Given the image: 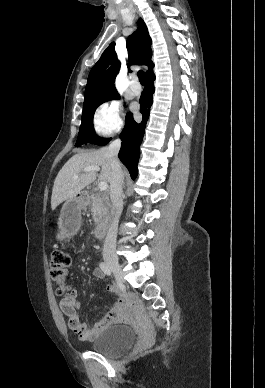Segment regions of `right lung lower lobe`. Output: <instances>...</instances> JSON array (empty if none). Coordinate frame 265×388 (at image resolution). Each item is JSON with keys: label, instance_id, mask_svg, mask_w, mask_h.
Masks as SVG:
<instances>
[{"label": "right lung lower lobe", "instance_id": "1", "mask_svg": "<svg viewBox=\"0 0 265 388\" xmlns=\"http://www.w3.org/2000/svg\"><path fill=\"white\" fill-rule=\"evenodd\" d=\"M148 78V85L143 91L139 100L143 115L141 123H137L133 119V115L128 113L126 115V124L121 132L120 138L122 140L119 158L130 172L131 178L134 180L138 174V160L140 156V144L144 136L145 126L149 117L150 106L152 105V96L154 93L155 75L151 73Z\"/></svg>", "mask_w": 265, "mask_h": 388}]
</instances>
